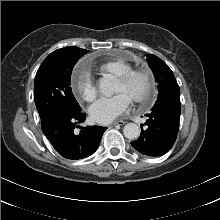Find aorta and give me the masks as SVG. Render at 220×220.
<instances>
[{
	"mask_svg": "<svg viewBox=\"0 0 220 220\" xmlns=\"http://www.w3.org/2000/svg\"><path fill=\"white\" fill-rule=\"evenodd\" d=\"M100 90L105 96H110L115 91L113 82L103 80L100 86ZM123 133L128 139H137L140 135V128L135 123H128L124 126Z\"/></svg>",
	"mask_w": 220,
	"mask_h": 220,
	"instance_id": "762f6f07",
	"label": "aorta"
}]
</instances>
